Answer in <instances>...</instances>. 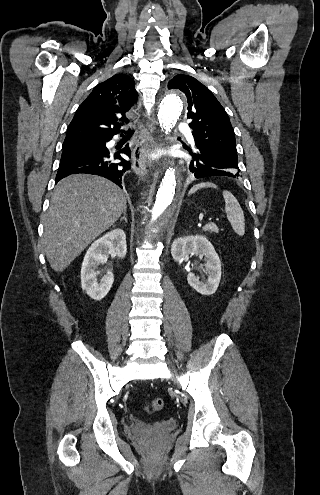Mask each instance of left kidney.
I'll return each mask as SVG.
<instances>
[{
	"label": "left kidney",
	"mask_w": 320,
	"mask_h": 495,
	"mask_svg": "<svg viewBox=\"0 0 320 495\" xmlns=\"http://www.w3.org/2000/svg\"><path fill=\"white\" fill-rule=\"evenodd\" d=\"M172 257L176 262H182L189 254H196L205 260L206 281L190 272L187 276L189 285L202 295L215 293L221 280V261L213 245L203 236H185L174 240L171 246Z\"/></svg>",
	"instance_id": "1"
}]
</instances>
